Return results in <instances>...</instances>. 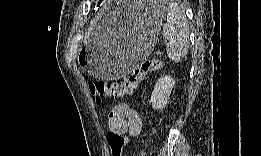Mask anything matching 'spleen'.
<instances>
[{"mask_svg":"<svg viewBox=\"0 0 261 156\" xmlns=\"http://www.w3.org/2000/svg\"><path fill=\"white\" fill-rule=\"evenodd\" d=\"M163 37L169 40L167 47L169 59L173 62L181 61L189 49V26L184 11L176 2H171L167 8Z\"/></svg>","mask_w":261,"mask_h":156,"instance_id":"obj_1","label":"spleen"}]
</instances>
